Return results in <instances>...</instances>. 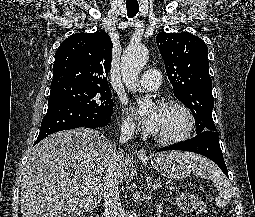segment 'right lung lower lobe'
Returning <instances> with one entry per match:
<instances>
[{
  "instance_id": "1",
  "label": "right lung lower lobe",
  "mask_w": 255,
  "mask_h": 217,
  "mask_svg": "<svg viewBox=\"0 0 255 217\" xmlns=\"http://www.w3.org/2000/svg\"><path fill=\"white\" fill-rule=\"evenodd\" d=\"M112 114H99L67 102L48 104V110L41 123V130L34 144L48 135L78 127L100 128L111 121Z\"/></svg>"
}]
</instances>
